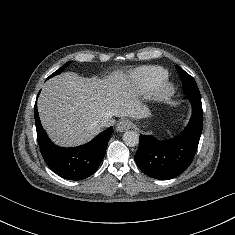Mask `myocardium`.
I'll use <instances>...</instances> for the list:
<instances>
[{"instance_id":"1","label":"myocardium","mask_w":235,"mask_h":235,"mask_svg":"<svg viewBox=\"0 0 235 235\" xmlns=\"http://www.w3.org/2000/svg\"><path fill=\"white\" fill-rule=\"evenodd\" d=\"M175 91V84L165 78L153 87L151 97L154 101L162 102L170 99L175 94Z\"/></svg>"}]
</instances>
